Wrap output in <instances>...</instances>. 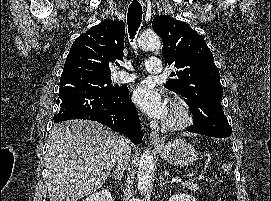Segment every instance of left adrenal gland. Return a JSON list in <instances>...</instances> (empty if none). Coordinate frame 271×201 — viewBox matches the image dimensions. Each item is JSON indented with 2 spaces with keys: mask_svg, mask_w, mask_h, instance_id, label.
Wrapping results in <instances>:
<instances>
[{
  "mask_svg": "<svg viewBox=\"0 0 271 201\" xmlns=\"http://www.w3.org/2000/svg\"><path fill=\"white\" fill-rule=\"evenodd\" d=\"M159 178H160V183H159V186H160V187H162V186H164L165 184H168V183H169V181H167V180L165 181V180H164V178H163L162 175H160Z\"/></svg>",
  "mask_w": 271,
  "mask_h": 201,
  "instance_id": "1",
  "label": "left adrenal gland"
}]
</instances>
